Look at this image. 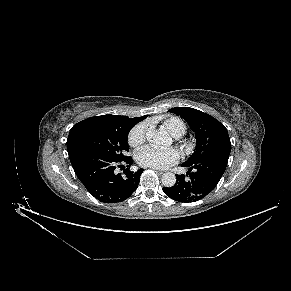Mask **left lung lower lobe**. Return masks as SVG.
Wrapping results in <instances>:
<instances>
[{"mask_svg": "<svg viewBox=\"0 0 291 291\" xmlns=\"http://www.w3.org/2000/svg\"><path fill=\"white\" fill-rule=\"evenodd\" d=\"M228 159L209 158L193 164H182L188 168L186 175H176V183L163 191L173 200L195 202L207 196L221 179Z\"/></svg>", "mask_w": 291, "mask_h": 291, "instance_id": "0a47b994", "label": "left lung lower lobe"}]
</instances>
